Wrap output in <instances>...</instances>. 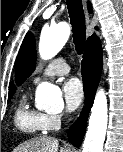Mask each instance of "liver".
<instances>
[{"label":"liver","mask_w":123,"mask_h":152,"mask_svg":"<svg viewBox=\"0 0 123 152\" xmlns=\"http://www.w3.org/2000/svg\"><path fill=\"white\" fill-rule=\"evenodd\" d=\"M14 152H66L63 147L59 151L58 140L48 136H42L30 139L18 148Z\"/></svg>","instance_id":"1"}]
</instances>
